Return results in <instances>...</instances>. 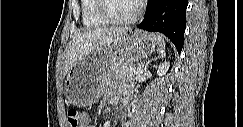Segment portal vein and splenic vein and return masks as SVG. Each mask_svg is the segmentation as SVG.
Returning a JSON list of instances; mask_svg holds the SVG:
<instances>
[{
    "label": "portal vein and splenic vein",
    "mask_w": 243,
    "mask_h": 127,
    "mask_svg": "<svg viewBox=\"0 0 243 127\" xmlns=\"http://www.w3.org/2000/svg\"><path fill=\"white\" fill-rule=\"evenodd\" d=\"M132 72L133 74H141L143 72V69L141 66H139L137 69H134Z\"/></svg>",
    "instance_id": "18ae733b"
}]
</instances>
